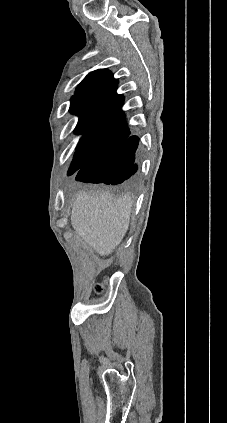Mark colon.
Returning a JSON list of instances; mask_svg holds the SVG:
<instances>
[{
    "mask_svg": "<svg viewBox=\"0 0 227 423\" xmlns=\"http://www.w3.org/2000/svg\"><path fill=\"white\" fill-rule=\"evenodd\" d=\"M95 290L97 293H103L105 291V286L103 284H97Z\"/></svg>",
    "mask_w": 227,
    "mask_h": 423,
    "instance_id": "5ec220e1",
    "label": "colon"
}]
</instances>
